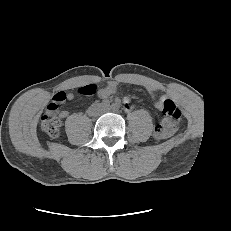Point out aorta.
Here are the masks:
<instances>
[{"instance_id":"obj_1","label":"aorta","mask_w":231,"mask_h":231,"mask_svg":"<svg viewBox=\"0 0 231 231\" xmlns=\"http://www.w3.org/2000/svg\"><path fill=\"white\" fill-rule=\"evenodd\" d=\"M112 107H113V109H116L117 106L116 105H112Z\"/></svg>"}]
</instances>
